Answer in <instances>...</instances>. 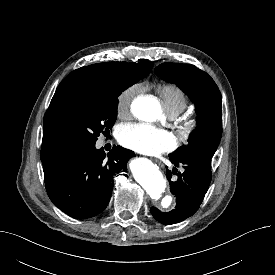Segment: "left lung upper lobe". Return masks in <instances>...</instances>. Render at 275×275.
I'll return each mask as SVG.
<instances>
[{"label": "left lung upper lobe", "mask_w": 275, "mask_h": 275, "mask_svg": "<svg viewBox=\"0 0 275 275\" xmlns=\"http://www.w3.org/2000/svg\"><path fill=\"white\" fill-rule=\"evenodd\" d=\"M163 80L176 84L195 104L197 127L188 144L170 154L175 159L206 157L212 159L222 135V98L213 79L189 64L162 63L155 68Z\"/></svg>", "instance_id": "1"}]
</instances>
